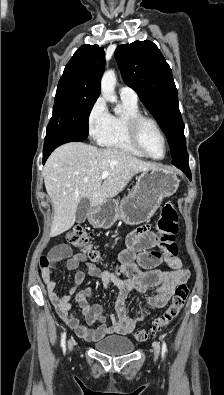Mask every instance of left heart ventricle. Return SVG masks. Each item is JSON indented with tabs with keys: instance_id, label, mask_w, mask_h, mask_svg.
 Segmentation results:
<instances>
[{
	"instance_id": "left-heart-ventricle-1",
	"label": "left heart ventricle",
	"mask_w": 224,
	"mask_h": 395,
	"mask_svg": "<svg viewBox=\"0 0 224 395\" xmlns=\"http://www.w3.org/2000/svg\"><path fill=\"white\" fill-rule=\"evenodd\" d=\"M141 140L148 151L153 157L161 158L164 155V143L161 136L150 124H144L141 129Z\"/></svg>"
}]
</instances>
